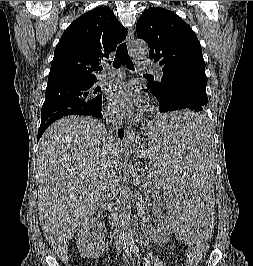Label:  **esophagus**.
Listing matches in <instances>:
<instances>
[{"mask_svg": "<svg viewBox=\"0 0 253 266\" xmlns=\"http://www.w3.org/2000/svg\"><path fill=\"white\" fill-rule=\"evenodd\" d=\"M133 39H134V33L132 29H129L128 34H127V45H128V49H129V53L130 55H134L133 54V49H132V43H133ZM136 138V134L132 129H127L125 131V137H124V142L126 144L132 143Z\"/></svg>", "mask_w": 253, "mask_h": 266, "instance_id": "esophagus-1", "label": "esophagus"}]
</instances>
